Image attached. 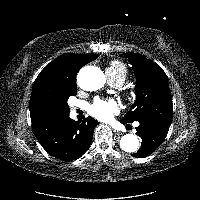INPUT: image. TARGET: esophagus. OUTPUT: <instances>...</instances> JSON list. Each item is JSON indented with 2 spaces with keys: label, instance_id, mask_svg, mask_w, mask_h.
<instances>
[{
  "label": "esophagus",
  "instance_id": "34e87169",
  "mask_svg": "<svg viewBox=\"0 0 200 200\" xmlns=\"http://www.w3.org/2000/svg\"><path fill=\"white\" fill-rule=\"evenodd\" d=\"M113 132H114L115 134H119V133H120L119 131H117V130H115V129H113Z\"/></svg>",
  "mask_w": 200,
  "mask_h": 200
}]
</instances>
